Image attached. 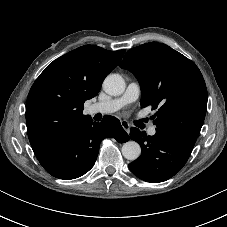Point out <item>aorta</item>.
<instances>
[{"mask_svg":"<svg viewBox=\"0 0 227 227\" xmlns=\"http://www.w3.org/2000/svg\"><path fill=\"white\" fill-rule=\"evenodd\" d=\"M106 93L112 96L121 95L125 91V81L119 74L108 75L103 83ZM141 154V147L135 141H128L122 146V155L127 160H136Z\"/></svg>","mask_w":227,"mask_h":227,"instance_id":"762f6f07","label":"aorta"}]
</instances>
